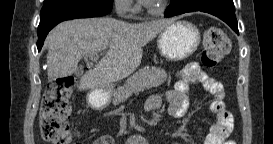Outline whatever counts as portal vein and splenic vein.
Returning <instances> with one entry per match:
<instances>
[{"label":"portal vein and splenic vein","instance_id":"1","mask_svg":"<svg viewBox=\"0 0 273 144\" xmlns=\"http://www.w3.org/2000/svg\"><path fill=\"white\" fill-rule=\"evenodd\" d=\"M86 56H87V55H86ZM88 56H89V58H90L92 61H94V62H96V61L98 60V58H99V55H98L97 52L92 53V54H90V55H88Z\"/></svg>","mask_w":273,"mask_h":144}]
</instances>
